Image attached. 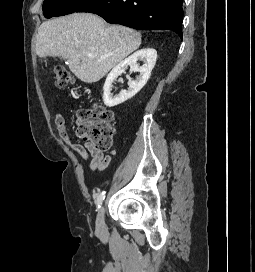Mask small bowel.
<instances>
[{"instance_id":"1","label":"small bowel","mask_w":255,"mask_h":272,"mask_svg":"<svg viewBox=\"0 0 255 272\" xmlns=\"http://www.w3.org/2000/svg\"><path fill=\"white\" fill-rule=\"evenodd\" d=\"M55 125L61 139L69 145L81 159L87 160L89 156L91 157L89 166L92 170L101 171L110 164L112 154L105 155L103 152L92 148L88 144L83 145L72 138L62 114H57L55 116Z\"/></svg>"}]
</instances>
